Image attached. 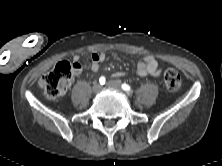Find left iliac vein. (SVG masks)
<instances>
[{
	"label": "left iliac vein",
	"mask_w": 222,
	"mask_h": 166,
	"mask_svg": "<svg viewBox=\"0 0 222 166\" xmlns=\"http://www.w3.org/2000/svg\"><path fill=\"white\" fill-rule=\"evenodd\" d=\"M107 86L112 89L121 90L120 82L117 80L108 81ZM128 94H130V92H128Z\"/></svg>",
	"instance_id": "4c4485c4"
}]
</instances>
